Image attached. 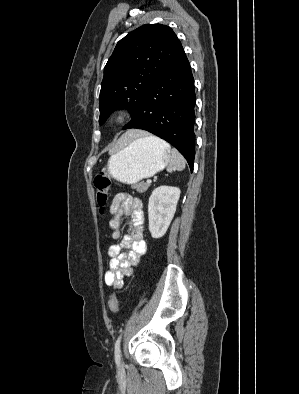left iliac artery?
Instances as JSON below:
<instances>
[{"instance_id": "44dca946", "label": "left iliac artery", "mask_w": 299, "mask_h": 394, "mask_svg": "<svg viewBox=\"0 0 299 394\" xmlns=\"http://www.w3.org/2000/svg\"><path fill=\"white\" fill-rule=\"evenodd\" d=\"M122 334L117 338L115 342V361L119 365L120 364V341H121Z\"/></svg>"}]
</instances>
